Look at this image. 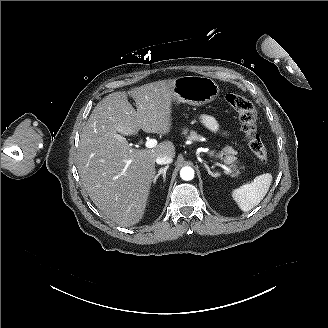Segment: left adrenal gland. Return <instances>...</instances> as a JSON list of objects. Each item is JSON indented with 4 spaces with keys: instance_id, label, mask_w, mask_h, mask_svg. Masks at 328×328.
<instances>
[{
    "instance_id": "1",
    "label": "left adrenal gland",
    "mask_w": 328,
    "mask_h": 328,
    "mask_svg": "<svg viewBox=\"0 0 328 328\" xmlns=\"http://www.w3.org/2000/svg\"><path fill=\"white\" fill-rule=\"evenodd\" d=\"M203 164H204V167L207 169V172H208L209 175H211L212 177H217L218 176V173H213L206 163H203Z\"/></svg>"
}]
</instances>
